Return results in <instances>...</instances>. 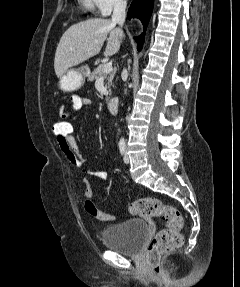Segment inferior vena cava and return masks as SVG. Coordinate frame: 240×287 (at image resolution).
I'll return each mask as SVG.
<instances>
[{"instance_id": "obj_1", "label": "inferior vena cava", "mask_w": 240, "mask_h": 287, "mask_svg": "<svg viewBox=\"0 0 240 287\" xmlns=\"http://www.w3.org/2000/svg\"><path fill=\"white\" fill-rule=\"evenodd\" d=\"M126 5L125 0H114L112 22L118 23L120 27H122L125 22Z\"/></svg>"}]
</instances>
